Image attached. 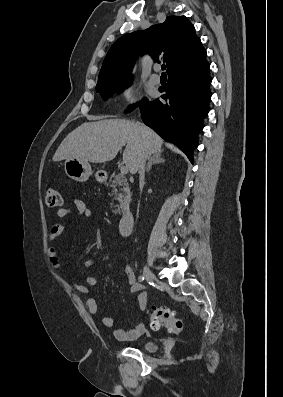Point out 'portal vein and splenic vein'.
Here are the masks:
<instances>
[{
  "label": "portal vein and splenic vein",
  "mask_w": 283,
  "mask_h": 397,
  "mask_svg": "<svg viewBox=\"0 0 283 397\" xmlns=\"http://www.w3.org/2000/svg\"><path fill=\"white\" fill-rule=\"evenodd\" d=\"M120 173H121V175H126L128 173V167L127 166H121Z\"/></svg>",
  "instance_id": "obj_1"
}]
</instances>
